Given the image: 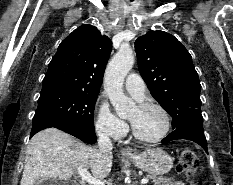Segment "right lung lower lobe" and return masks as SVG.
Listing matches in <instances>:
<instances>
[{
	"label": "right lung lower lobe",
	"instance_id": "1",
	"mask_svg": "<svg viewBox=\"0 0 233 185\" xmlns=\"http://www.w3.org/2000/svg\"><path fill=\"white\" fill-rule=\"evenodd\" d=\"M44 128H48V127L46 125H42V126H39L37 130L40 131ZM59 129L79 138L80 140L88 144H93L96 142V135L94 131L71 127V126H60Z\"/></svg>",
	"mask_w": 233,
	"mask_h": 185
}]
</instances>
